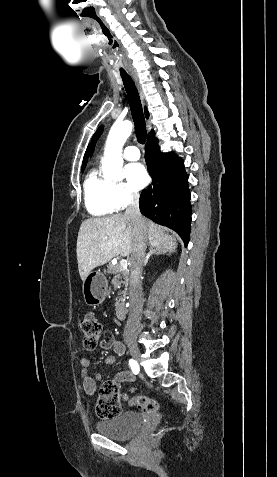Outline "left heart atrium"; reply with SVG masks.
I'll return each mask as SVG.
<instances>
[{"label": "left heart atrium", "instance_id": "left-heart-atrium-1", "mask_svg": "<svg viewBox=\"0 0 277 477\" xmlns=\"http://www.w3.org/2000/svg\"><path fill=\"white\" fill-rule=\"evenodd\" d=\"M125 175L129 186L134 190L142 189L148 182V174L140 163H132L125 167Z\"/></svg>", "mask_w": 277, "mask_h": 477}]
</instances>
